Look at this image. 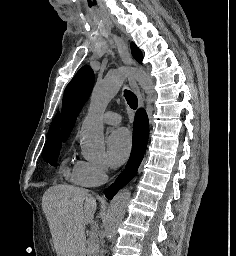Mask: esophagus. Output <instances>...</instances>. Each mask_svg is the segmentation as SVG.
<instances>
[{
	"instance_id": "1",
	"label": "esophagus",
	"mask_w": 236,
	"mask_h": 256,
	"mask_svg": "<svg viewBox=\"0 0 236 256\" xmlns=\"http://www.w3.org/2000/svg\"><path fill=\"white\" fill-rule=\"evenodd\" d=\"M113 41L115 43V46L118 50L119 56L123 63L125 65H132L133 61L130 57V53L128 51L127 43L125 42L124 38L118 37L117 35H112ZM129 84L134 91V93L137 96L139 107L142 108L144 106V100L141 94V91L139 89V86L137 84V81L135 80L134 76L130 74L128 76Z\"/></svg>"
}]
</instances>
